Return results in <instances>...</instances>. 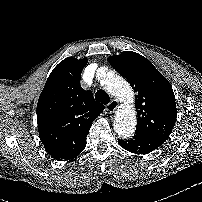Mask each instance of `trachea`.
I'll return each instance as SVG.
<instances>
[{"label":"trachea","instance_id":"obj_1","mask_svg":"<svg viewBox=\"0 0 202 202\" xmlns=\"http://www.w3.org/2000/svg\"><path fill=\"white\" fill-rule=\"evenodd\" d=\"M95 99L98 103H101V104H108L110 100L108 94L104 92L103 90H98L96 92Z\"/></svg>","mask_w":202,"mask_h":202}]
</instances>
